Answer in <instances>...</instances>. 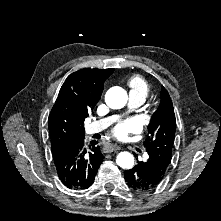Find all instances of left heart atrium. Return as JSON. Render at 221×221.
<instances>
[{
    "mask_svg": "<svg viewBox=\"0 0 221 221\" xmlns=\"http://www.w3.org/2000/svg\"><path fill=\"white\" fill-rule=\"evenodd\" d=\"M140 129L141 126L139 121L134 118H130L117 123L111 129V132L116 139L120 141H125L128 139L130 134L138 133Z\"/></svg>",
    "mask_w": 221,
    "mask_h": 221,
    "instance_id": "39dd6f15",
    "label": "left heart atrium"
}]
</instances>
